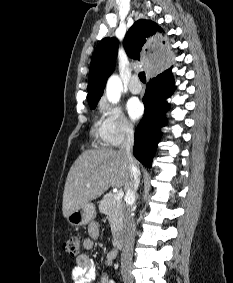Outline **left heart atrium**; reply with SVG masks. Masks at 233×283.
<instances>
[{"instance_id": "39dd6f15", "label": "left heart atrium", "mask_w": 233, "mask_h": 283, "mask_svg": "<svg viewBox=\"0 0 233 283\" xmlns=\"http://www.w3.org/2000/svg\"><path fill=\"white\" fill-rule=\"evenodd\" d=\"M127 111L132 120H138L144 112L143 104L136 98H132L127 103Z\"/></svg>"}]
</instances>
